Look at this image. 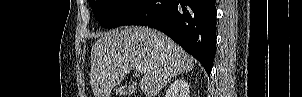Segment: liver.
Segmentation results:
<instances>
[{"label": "liver", "instance_id": "liver-1", "mask_svg": "<svg viewBox=\"0 0 302 97\" xmlns=\"http://www.w3.org/2000/svg\"><path fill=\"white\" fill-rule=\"evenodd\" d=\"M137 65L146 72L139 87L155 97L177 76L192 71L193 58L165 34L148 27H122L100 35L91 50L90 81L94 97H109Z\"/></svg>", "mask_w": 302, "mask_h": 97}]
</instances>
